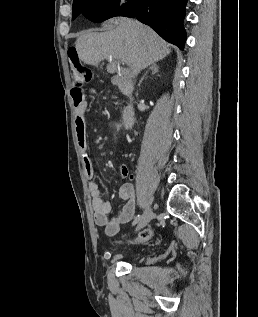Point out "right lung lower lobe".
Listing matches in <instances>:
<instances>
[{"instance_id": "1", "label": "right lung lower lobe", "mask_w": 258, "mask_h": 317, "mask_svg": "<svg viewBox=\"0 0 258 317\" xmlns=\"http://www.w3.org/2000/svg\"><path fill=\"white\" fill-rule=\"evenodd\" d=\"M187 0H128L115 11V16L137 18L153 28L166 41L184 48L183 27ZM84 15V13H82Z\"/></svg>"}]
</instances>
